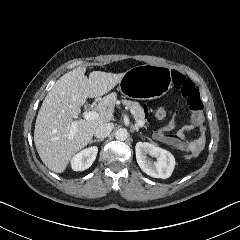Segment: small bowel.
I'll return each mask as SVG.
<instances>
[{
	"label": "small bowel",
	"mask_w": 240,
	"mask_h": 240,
	"mask_svg": "<svg viewBox=\"0 0 240 240\" xmlns=\"http://www.w3.org/2000/svg\"><path fill=\"white\" fill-rule=\"evenodd\" d=\"M178 120V117H174L164 127L155 130L153 132V138L158 142L175 147L184 152L190 146H197L202 150L205 145V126L203 124L193 125L189 122L173 133L172 131L176 128ZM194 131L198 132V137H187L189 133Z\"/></svg>",
	"instance_id": "c3829d8e"
}]
</instances>
